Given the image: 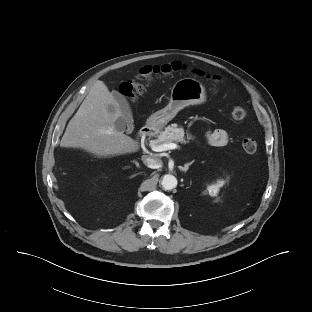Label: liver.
<instances>
[{
	"mask_svg": "<svg viewBox=\"0 0 312 312\" xmlns=\"http://www.w3.org/2000/svg\"><path fill=\"white\" fill-rule=\"evenodd\" d=\"M109 106L115 111L110 112ZM120 117L123 114L113 93L104 82L97 81L69 121L60 146L81 148L99 158L136 152L137 142L116 127Z\"/></svg>",
	"mask_w": 312,
	"mask_h": 312,
	"instance_id": "liver-1",
	"label": "liver"
}]
</instances>
